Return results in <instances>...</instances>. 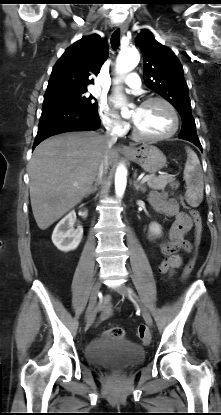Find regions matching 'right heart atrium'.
Returning a JSON list of instances; mask_svg holds the SVG:
<instances>
[{
    "instance_id": "d8ad5b80",
    "label": "right heart atrium",
    "mask_w": 221,
    "mask_h": 415,
    "mask_svg": "<svg viewBox=\"0 0 221 415\" xmlns=\"http://www.w3.org/2000/svg\"><path fill=\"white\" fill-rule=\"evenodd\" d=\"M99 116L107 132L112 135L120 136L128 128L127 123L112 113L104 104L99 107Z\"/></svg>"
}]
</instances>
